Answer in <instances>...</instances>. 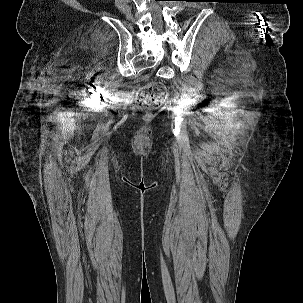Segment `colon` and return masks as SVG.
I'll return each instance as SVG.
<instances>
[{"label": "colon", "instance_id": "obj_1", "mask_svg": "<svg viewBox=\"0 0 303 303\" xmlns=\"http://www.w3.org/2000/svg\"><path fill=\"white\" fill-rule=\"evenodd\" d=\"M167 99V89L162 83L152 82L138 90L137 102L145 109H155Z\"/></svg>", "mask_w": 303, "mask_h": 303}]
</instances>
